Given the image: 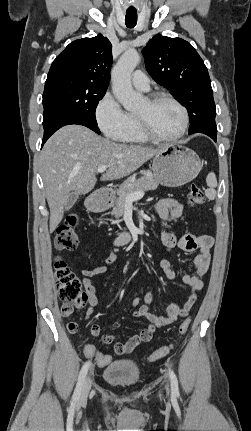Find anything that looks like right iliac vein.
Listing matches in <instances>:
<instances>
[{
    "mask_svg": "<svg viewBox=\"0 0 251 431\" xmlns=\"http://www.w3.org/2000/svg\"><path fill=\"white\" fill-rule=\"evenodd\" d=\"M90 389H91V379L90 377H87L82 387L80 401H85L87 399Z\"/></svg>",
    "mask_w": 251,
    "mask_h": 431,
    "instance_id": "right-iliac-vein-1",
    "label": "right iliac vein"
}]
</instances>
